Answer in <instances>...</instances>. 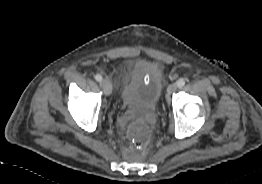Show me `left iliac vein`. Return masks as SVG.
I'll return each instance as SVG.
<instances>
[{
    "mask_svg": "<svg viewBox=\"0 0 262 184\" xmlns=\"http://www.w3.org/2000/svg\"><path fill=\"white\" fill-rule=\"evenodd\" d=\"M176 89H177V84L175 83L170 84L167 88V94L171 95L173 92L176 91Z\"/></svg>",
    "mask_w": 262,
    "mask_h": 184,
    "instance_id": "left-iliac-vein-1",
    "label": "left iliac vein"
}]
</instances>
